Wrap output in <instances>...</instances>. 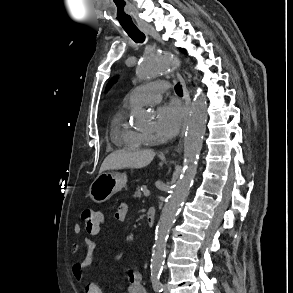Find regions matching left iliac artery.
I'll return each mask as SVG.
<instances>
[{"label":"left iliac artery","mask_w":293,"mask_h":293,"mask_svg":"<svg viewBox=\"0 0 293 293\" xmlns=\"http://www.w3.org/2000/svg\"><path fill=\"white\" fill-rule=\"evenodd\" d=\"M161 269H152L151 270V282L154 291L161 293L163 291V285L160 282Z\"/></svg>","instance_id":"44dca946"}]
</instances>
